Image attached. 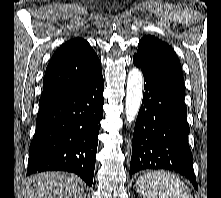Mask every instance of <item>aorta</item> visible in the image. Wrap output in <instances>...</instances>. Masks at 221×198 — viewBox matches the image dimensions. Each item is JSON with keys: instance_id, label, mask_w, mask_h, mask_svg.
I'll return each mask as SVG.
<instances>
[{"instance_id": "762f6f07", "label": "aorta", "mask_w": 221, "mask_h": 198, "mask_svg": "<svg viewBox=\"0 0 221 198\" xmlns=\"http://www.w3.org/2000/svg\"><path fill=\"white\" fill-rule=\"evenodd\" d=\"M143 76L138 68L130 70L127 78L125 115L126 121L131 123L138 114L142 102Z\"/></svg>"}]
</instances>
